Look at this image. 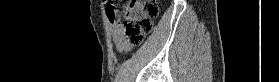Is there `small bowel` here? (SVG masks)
Here are the masks:
<instances>
[{
	"instance_id": "obj_1",
	"label": "small bowel",
	"mask_w": 279,
	"mask_h": 82,
	"mask_svg": "<svg viewBox=\"0 0 279 82\" xmlns=\"http://www.w3.org/2000/svg\"><path fill=\"white\" fill-rule=\"evenodd\" d=\"M107 21L111 31L112 40L119 51L126 50L128 46L125 42L124 30L116 16L115 5L112 4L106 8Z\"/></svg>"
}]
</instances>
